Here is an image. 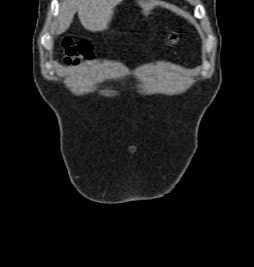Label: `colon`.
I'll return each instance as SVG.
<instances>
[{
  "label": "colon",
  "mask_w": 254,
  "mask_h": 267,
  "mask_svg": "<svg viewBox=\"0 0 254 267\" xmlns=\"http://www.w3.org/2000/svg\"><path fill=\"white\" fill-rule=\"evenodd\" d=\"M176 41V36L171 35L168 39L170 44ZM64 61L67 64H77L81 59H90L93 56V47L88 41H80L74 43L71 38H66L63 41Z\"/></svg>",
  "instance_id": "1"
}]
</instances>
